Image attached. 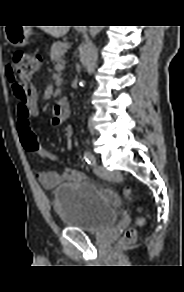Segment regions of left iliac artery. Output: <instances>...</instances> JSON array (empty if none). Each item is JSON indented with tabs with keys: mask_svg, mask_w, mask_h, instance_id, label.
Masks as SVG:
<instances>
[{
	"mask_svg": "<svg viewBox=\"0 0 184 292\" xmlns=\"http://www.w3.org/2000/svg\"><path fill=\"white\" fill-rule=\"evenodd\" d=\"M84 159L89 165H95L96 164L95 156L92 153L88 152V151H86L84 153Z\"/></svg>",
	"mask_w": 184,
	"mask_h": 292,
	"instance_id": "left-iliac-artery-1",
	"label": "left iliac artery"
}]
</instances>
